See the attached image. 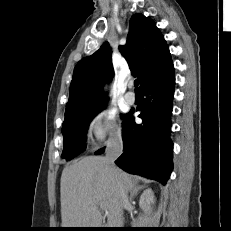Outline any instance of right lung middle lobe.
<instances>
[{"label":"right lung middle lobe","mask_w":231,"mask_h":231,"mask_svg":"<svg viewBox=\"0 0 231 231\" xmlns=\"http://www.w3.org/2000/svg\"><path fill=\"white\" fill-rule=\"evenodd\" d=\"M104 106L105 104H102L84 111L65 114V120L62 125L63 158L72 159L85 150L86 132L89 123ZM122 117H124V115H122Z\"/></svg>","instance_id":"right-lung-middle-lobe-1"}]
</instances>
